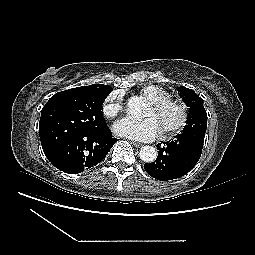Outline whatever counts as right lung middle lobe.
<instances>
[{
  "mask_svg": "<svg viewBox=\"0 0 255 255\" xmlns=\"http://www.w3.org/2000/svg\"><path fill=\"white\" fill-rule=\"evenodd\" d=\"M111 91L72 88L52 96L41 111L39 134L46 157L69 138L105 126L101 109Z\"/></svg>",
  "mask_w": 255,
  "mask_h": 255,
  "instance_id": "1",
  "label": "right lung middle lobe"
}]
</instances>
